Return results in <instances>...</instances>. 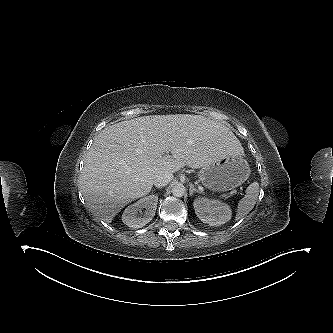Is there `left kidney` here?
Returning a JSON list of instances; mask_svg holds the SVG:
<instances>
[{"mask_svg": "<svg viewBox=\"0 0 333 333\" xmlns=\"http://www.w3.org/2000/svg\"><path fill=\"white\" fill-rule=\"evenodd\" d=\"M197 217L210 226H220L232 217L231 207L219 200L205 197L196 198L193 203Z\"/></svg>", "mask_w": 333, "mask_h": 333, "instance_id": "obj_1", "label": "left kidney"}]
</instances>
